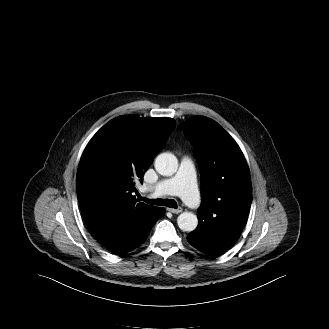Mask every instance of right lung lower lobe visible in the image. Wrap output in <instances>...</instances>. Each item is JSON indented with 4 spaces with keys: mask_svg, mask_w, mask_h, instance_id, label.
Wrapping results in <instances>:
<instances>
[{
    "mask_svg": "<svg viewBox=\"0 0 329 329\" xmlns=\"http://www.w3.org/2000/svg\"><path fill=\"white\" fill-rule=\"evenodd\" d=\"M164 213V208L155 207L134 216H113L101 221L91 232L106 249L119 255L139 247Z\"/></svg>",
    "mask_w": 329,
    "mask_h": 329,
    "instance_id": "right-lung-lower-lobe-1",
    "label": "right lung lower lobe"
}]
</instances>
